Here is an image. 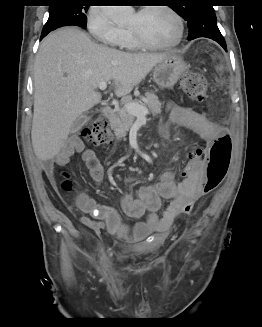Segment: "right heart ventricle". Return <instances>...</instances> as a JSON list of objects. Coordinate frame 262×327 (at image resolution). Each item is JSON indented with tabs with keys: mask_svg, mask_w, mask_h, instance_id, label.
Wrapping results in <instances>:
<instances>
[{
	"mask_svg": "<svg viewBox=\"0 0 262 327\" xmlns=\"http://www.w3.org/2000/svg\"><path fill=\"white\" fill-rule=\"evenodd\" d=\"M122 47L128 50H136L140 48V46L138 45V43L135 41L132 34L128 30H125Z\"/></svg>",
	"mask_w": 262,
	"mask_h": 327,
	"instance_id": "e07e8e85",
	"label": "right heart ventricle"
}]
</instances>
